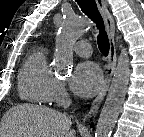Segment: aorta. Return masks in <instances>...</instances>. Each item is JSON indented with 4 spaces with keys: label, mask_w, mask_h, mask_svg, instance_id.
<instances>
[{
    "label": "aorta",
    "mask_w": 144,
    "mask_h": 137,
    "mask_svg": "<svg viewBox=\"0 0 144 137\" xmlns=\"http://www.w3.org/2000/svg\"><path fill=\"white\" fill-rule=\"evenodd\" d=\"M89 26L86 20L76 16H67L64 19L56 40L54 54V61L58 68L67 69L71 66L73 45ZM120 48L121 52L108 95L96 125L95 137H110L118 115L122 110L130 76V61L127 49L122 44Z\"/></svg>",
    "instance_id": "obj_1"
}]
</instances>
